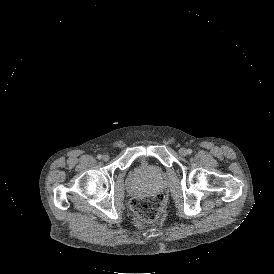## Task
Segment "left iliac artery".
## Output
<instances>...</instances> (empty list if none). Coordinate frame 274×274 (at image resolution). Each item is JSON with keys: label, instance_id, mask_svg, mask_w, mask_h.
Here are the masks:
<instances>
[{"label": "left iliac artery", "instance_id": "obj_1", "mask_svg": "<svg viewBox=\"0 0 274 274\" xmlns=\"http://www.w3.org/2000/svg\"><path fill=\"white\" fill-rule=\"evenodd\" d=\"M187 154H192V150L191 149H187Z\"/></svg>", "mask_w": 274, "mask_h": 274}]
</instances>
